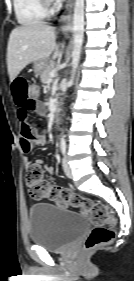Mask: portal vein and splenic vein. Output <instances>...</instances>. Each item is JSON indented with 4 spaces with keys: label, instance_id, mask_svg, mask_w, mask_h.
Returning <instances> with one entry per match:
<instances>
[{
    "label": "portal vein and splenic vein",
    "instance_id": "1",
    "mask_svg": "<svg viewBox=\"0 0 134 281\" xmlns=\"http://www.w3.org/2000/svg\"><path fill=\"white\" fill-rule=\"evenodd\" d=\"M49 76H50V79L48 81H51L52 78H54L56 76V71H51Z\"/></svg>",
    "mask_w": 134,
    "mask_h": 281
}]
</instances>
